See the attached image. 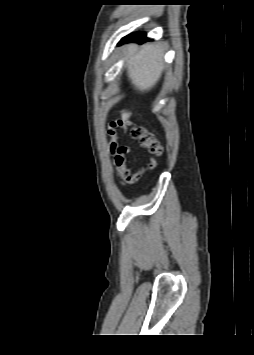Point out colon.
I'll use <instances>...</instances> for the list:
<instances>
[{"label":"colon","instance_id":"5ec220e1","mask_svg":"<svg viewBox=\"0 0 254 355\" xmlns=\"http://www.w3.org/2000/svg\"><path fill=\"white\" fill-rule=\"evenodd\" d=\"M125 124L129 125L126 121ZM130 135L150 154L160 155L162 153V146L158 142L155 134L147 128L137 125L131 126Z\"/></svg>","mask_w":254,"mask_h":355}]
</instances>
